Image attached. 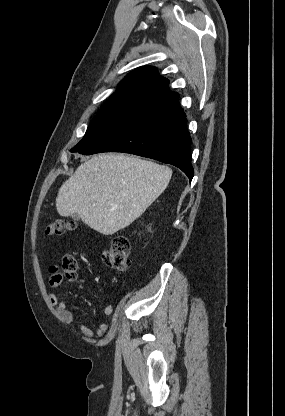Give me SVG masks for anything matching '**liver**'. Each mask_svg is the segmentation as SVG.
Here are the masks:
<instances>
[{"label": "liver", "instance_id": "1", "mask_svg": "<svg viewBox=\"0 0 285 416\" xmlns=\"http://www.w3.org/2000/svg\"><path fill=\"white\" fill-rule=\"evenodd\" d=\"M172 176L167 166L100 154L77 168L56 198L60 216L77 214L84 224L112 236L130 226L166 190Z\"/></svg>", "mask_w": 285, "mask_h": 416}]
</instances>
